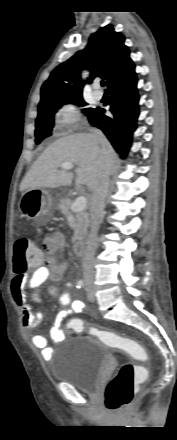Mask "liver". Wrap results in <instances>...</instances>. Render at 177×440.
<instances>
[{
  "mask_svg": "<svg viewBox=\"0 0 177 440\" xmlns=\"http://www.w3.org/2000/svg\"><path fill=\"white\" fill-rule=\"evenodd\" d=\"M118 155L103 136L100 142L94 134L78 133L56 140L33 163L20 184V191L36 188L70 186L73 173L57 170L64 162L76 164L77 186L93 190L99 175L100 161L108 166L109 174L116 169Z\"/></svg>",
  "mask_w": 177,
  "mask_h": 440,
  "instance_id": "obj_1",
  "label": "liver"
}]
</instances>
